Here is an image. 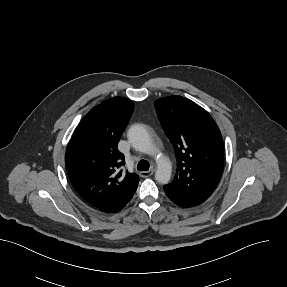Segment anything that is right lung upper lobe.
I'll use <instances>...</instances> for the list:
<instances>
[{"label":"right lung upper lobe","mask_w":287,"mask_h":287,"mask_svg":"<svg viewBox=\"0 0 287 287\" xmlns=\"http://www.w3.org/2000/svg\"><path fill=\"white\" fill-rule=\"evenodd\" d=\"M132 112L130 99H108L80 121L69 142L65 154L69 179L77 193L94 207L137 189L138 176L123 173L124 156L117 150Z\"/></svg>","instance_id":"cb5924a9"}]
</instances>
